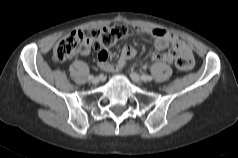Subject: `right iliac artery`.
I'll return each mask as SVG.
<instances>
[{"label": "right iliac artery", "instance_id": "82829eb1", "mask_svg": "<svg viewBox=\"0 0 238 158\" xmlns=\"http://www.w3.org/2000/svg\"><path fill=\"white\" fill-rule=\"evenodd\" d=\"M88 79H89V80H92V79H93V75H89V76H88Z\"/></svg>", "mask_w": 238, "mask_h": 158}]
</instances>
